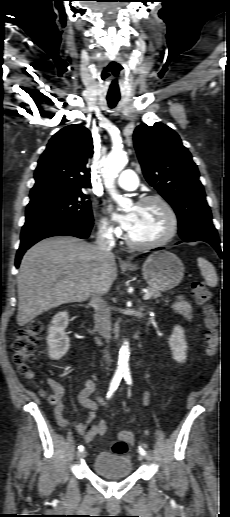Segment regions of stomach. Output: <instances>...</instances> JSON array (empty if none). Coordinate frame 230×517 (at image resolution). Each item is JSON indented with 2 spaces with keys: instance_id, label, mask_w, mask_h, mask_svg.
<instances>
[{
  "instance_id": "0dacf381",
  "label": "stomach",
  "mask_w": 230,
  "mask_h": 517,
  "mask_svg": "<svg viewBox=\"0 0 230 517\" xmlns=\"http://www.w3.org/2000/svg\"><path fill=\"white\" fill-rule=\"evenodd\" d=\"M131 267L130 270H134ZM142 274L150 287L167 291L176 287L183 279L184 265L172 252L162 250L151 254L142 266Z\"/></svg>"
}]
</instances>
